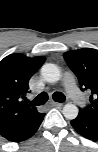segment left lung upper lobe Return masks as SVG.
I'll return each instance as SVG.
<instances>
[{
	"label": "left lung upper lobe",
	"mask_w": 98,
	"mask_h": 152,
	"mask_svg": "<svg viewBox=\"0 0 98 152\" xmlns=\"http://www.w3.org/2000/svg\"><path fill=\"white\" fill-rule=\"evenodd\" d=\"M69 68L78 78L80 89L91 94L90 104L79 113L98 120V50L83 48L64 53Z\"/></svg>",
	"instance_id": "5c2ea615"
}]
</instances>
